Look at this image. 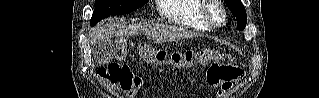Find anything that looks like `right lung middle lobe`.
I'll list each match as a JSON object with an SVG mask.
<instances>
[{
	"label": "right lung middle lobe",
	"mask_w": 319,
	"mask_h": 98,
	"mask_svg": "<svg viewBox=\"0 0 319 98\" xmlns=\"http://www.w3.org/2000/svg\"><path fill=\"white\" fill-rule=\"evenodd\" d=\"M148 0H95V9L90 25L94 26L100 20L110 15H121L135 11Z\"/></svg>",
	"instance_id": "dd1d6c3e"
}]
</instances>
